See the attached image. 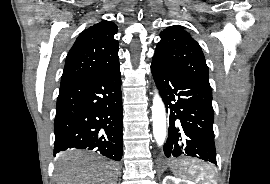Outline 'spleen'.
<instances>
[{"label": "spleen", "mask_w": 270, "mask_h": 184, "mask_svg": "<svg viewBox=\"0 0 270 184\" xmlns=\"http://www.w3.org/2000/svg\"><path fill=\"white\" fill-rule=\"evenodd\" d=\"M178 177L195 180L199 184H215L214 173L212 169L206 165L188 164L182 175Z\"/></svg>", "instance_id": "3e777b00"}]
</instances>
